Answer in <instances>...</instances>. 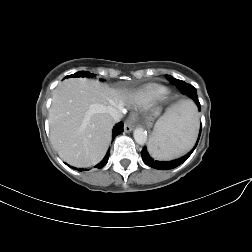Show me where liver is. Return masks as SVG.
<instances>
[{
    "mask_svg": "<svg viewBox=\"0 0 252 252\" xmlns=\"http://www.w3.org/2000/svg\"><path fill=\"white\" fill-rule=\"evenodd\" d=\"M125 99L99 81L74 78L61 82L49 110L50 140L59 156L76 167L99 163L109 147L114 122L106 108L122 110Z\"/></svg>",
    "mask_w": 252,
    "mask_h": 252,
    "instance_id": "1",
    "label": "liver"
}]
</instances>
